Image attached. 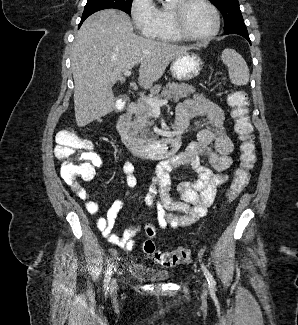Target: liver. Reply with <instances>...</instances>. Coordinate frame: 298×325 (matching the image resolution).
<instances>
[{"label": "liver", "instance_id": "liver-1", "mask_svg": "<svg viewBox=\"0 0 298 325\" xmlns=\"http://www.w3.org/2000/svg\"><path fill=\"white\" fill-rule=\"evenodd\" d=\"M75 38L71 60L78 126H86L114 110L112 86L117 80H126L125 70L140 64L138 84L151 88L173 58L192 48L138 36L130 16L117 8H105L88 16Z\"/></svg>", "mask_w": 298, "mask_h": 325}]
</instances>
